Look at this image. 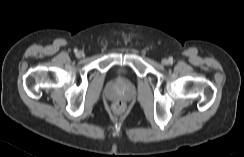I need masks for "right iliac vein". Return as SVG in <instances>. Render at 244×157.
<instances>
[{"label": "right iliac vein", "mask_w": 244, "mask_h": 157, "mask_svg": "<svg viewBox=\"0 0 244 157\" xmlns=\"http://www.w3.org/2000/svg\"><path fill=\"white\" fill-rule=\"evenodd\" d=\"M76 56L80 58V57L83 56V53H82V52H78V53L76 54Z\"/></svg>", "instance_id": "63e3f726"}]
</instances>
